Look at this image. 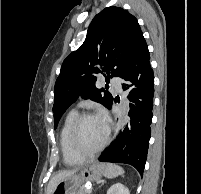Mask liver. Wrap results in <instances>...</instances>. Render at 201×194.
Masks as SVG:
<instances>
[{"mask_svg":"<svg viewBox=\"0 0 201 194\" xmlns=\"http://www.w3.org/2000/svg\"><path fill=\"white\" fill-rule=\"evenodd\" d=\"M78 172V169L65 170L57 173L49 182L47 187V194H52L57 184L64 178L74 175Z\"/></svg>","mask_w":201,"mask_h":194,"instance_id":"6515ba94","label":"liver"}]
</instances>
